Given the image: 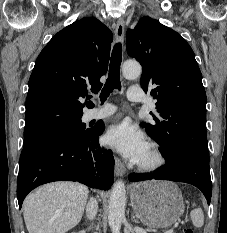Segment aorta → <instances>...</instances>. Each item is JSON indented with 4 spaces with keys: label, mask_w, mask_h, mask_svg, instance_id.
Listing matches in <instances>:
<instances>
[{
    "label": "aorta",
    "mask_w": 227,
    "mask_h": 233,
    "mask_svg": "<svg viewBox=\"0 0 227 233\" xmlns=\"http://www.w3.org/2000/svg\"><path fill=\"white\" fill-rule=\"evenodd\" d=\"M142 67L138 62L126 61L122 66V73L126 79H136L141 75ZM125 185L118 180L114 183L109 200V226L112 233H120L121 224L125 219Z\"/></svg>",
    "instance_id": "762f6f07"
}]
</instances>
